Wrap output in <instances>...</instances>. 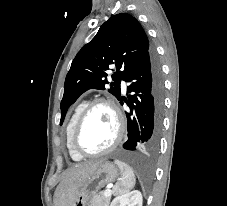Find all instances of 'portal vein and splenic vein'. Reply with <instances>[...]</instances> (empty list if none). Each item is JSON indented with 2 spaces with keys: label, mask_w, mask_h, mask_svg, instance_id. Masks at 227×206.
Wrapping results in <instances>:
<instances>
[{
  "label": "portal vein and splenic vein",
  "mask_w": 227,
  "mask_h": 206,
  "mask_svg": "<svg viewBox=\"0 0 227 206\" xmlns=\"http://www.w3.org/2000/svg\"><path fill=\"white\" fill-rule=\"evenodd\" d=\"M111 193H112L111 189H106L104 195L109 196V195H111Z\"/></svg>",
  "instance_id": "18ae733b"
}]
</instances>
